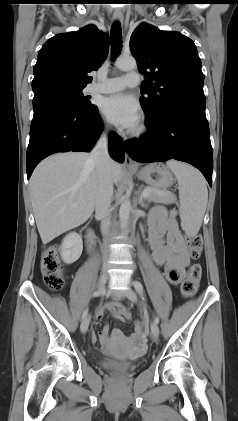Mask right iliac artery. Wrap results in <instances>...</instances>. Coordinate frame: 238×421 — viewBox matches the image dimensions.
<instances>
[{
    "label": "right iliac artery",
    "instance_id": "obj_1",
    "mask_svg": "<svg viewBox=\"0 0 238 421\" xmlns=\"http://www.w3.org/2000/svg\"><path fill=\"white\" fill-rule=\"evenodd\" d=\"M104 292H105V289H104V288H103V289H101V290L95 291V292L93 293V297H98V296L102 295ZM87 314H88V308H86V309L84 310V312H83V314H82V319H84V318L87 316Z\"/></svg>",
    "mask_w": 238,
    "mask_h": 421
}]
</instances>
